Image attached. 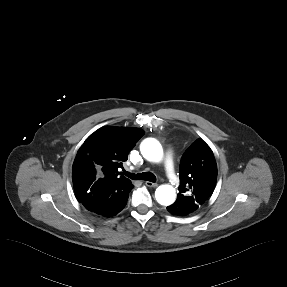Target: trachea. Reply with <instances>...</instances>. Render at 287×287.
Listing matches in <instances>:
<instances>
[{
  "label": "trachea",
  "mask_w": 287,
  "mask_h": 287,
  "mask_svg": "<svg viewBox=\"0 0 287 287\" xmlns=\"http://www.w3.org/2000/svg\"><path fill=\"white\" fill-rule=\"evenodd\" d=\"M123 174H125L127 177L133 180H145L150 181L152 183L156 182V176L151 172H143L141 174H131L130 172L124 171Z\"/></svg>",
  "instance_id": "obj_1"
}]
</instances>
